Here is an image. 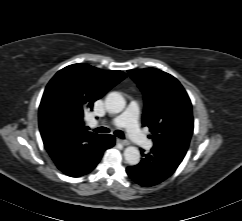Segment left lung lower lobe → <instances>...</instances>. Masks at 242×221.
I'll use <instances>...</instances> for the list:
<instances>
[{
    "mask_svg": "<svg viewBox=\"0 0 242 221\" xmlns=\"http://www.w3.org/2000/svg\"><path fill=\"white\" fill-rule=\"evenodd\" d=\"M141 154L143 156L141 162L127 167L126 171L132 180L144 187L157 185L167 179L182 161L156 147L147 154L142 150Z\"/></svg>",
    "mask_w": 242,
    "mask_h": 221,
    "instance_id": "1",
    "label": "left lung lower lobe"
}]
</instances>
